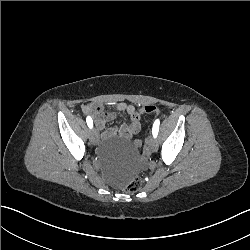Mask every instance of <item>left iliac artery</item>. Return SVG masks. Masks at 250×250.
I'll list each match as a JSON object with an SVG mask.
<instances>
[{
	"label": "left iliac artery",
	"instance_id": "left-iliac-artery-1",
	"mask_svg": "<svg viewBox=\"0 0 250 250\" xmlns=\"http://www.w3.org/2000/svg\"><path fill=\"white\" fill-rule=\"evenodd\" d=\"M159 124H160V121L159 119H157L154 124H153V128H152V134L154 136V138L157 137L158 135V131H159Z\"/></svg>",
	"mask_w": 250,
	"mask_h": 250
}]
</instances>
